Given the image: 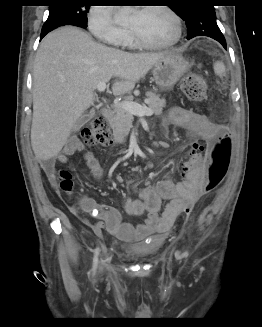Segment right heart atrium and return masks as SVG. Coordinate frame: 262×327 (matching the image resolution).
I'll return each mask as SVG.
<instances>
[{"label":"right heart atrium","instance_id":"d8ad5b80","mask_svg":"<svg viewBox=\"0 0 262 327\" xmlns=\"http://www.w3.org/2000/svg\"><path fill=\"white\" fill-rule=\"evenodd\" d=\"M87 27L91 34L101 43L114 47L125 45L129 32L118 26L109 7L94 5L87 15Z\"/></svg>","mask_w":262,"mask_h":327}]
</instances>
